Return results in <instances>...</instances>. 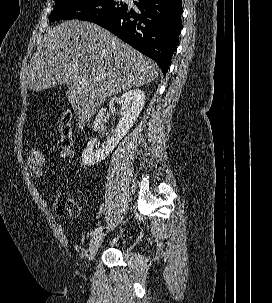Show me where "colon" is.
Masks as SVG:
<instances>
[{
	"mask_svg": "<svg viewBox=\"0 0 272 303\" xmlns=\"http://www.w3.org/2000/svg\"><path fill=\"white\" fill-rule=\"evenodd\" d=\"M59 147L64 157H70L73 153L72 124L70 114H63L59 124ZM29 164L34 173L41 177L47 171V159L40 147H33L29 154ZM54 212L61 217H75L81 212L80 203L67 194H59L53 201Z\"/></svg>",
	"mask_w": 272,
	"mask_h": 303,
	"instance_id": "5ec220e1",
	"label": "colon"
}]
</instances>
